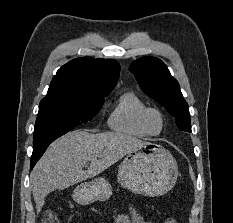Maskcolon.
Returning <instances> with one entry per match:
<instances>
[{"mask_svg":"<svg viewBox=\"0 0 233 223\" xmlns=\"http://www.w3.org/2000/svg\"><path fill=\"white\" fill-rule=\"evenodd\" d=\"M44 223H60V220L53 211L48 210L44 215ZM164 223H177V221L174 217L168 216L165 218Z\"/></svg>","mask_w":233,"mask_h":223,"instance_id":"1","label":"colon"}]
</instances>
